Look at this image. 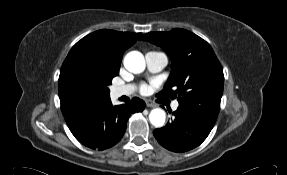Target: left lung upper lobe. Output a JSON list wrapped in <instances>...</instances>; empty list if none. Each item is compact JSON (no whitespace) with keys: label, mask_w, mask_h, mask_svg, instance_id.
<instances>
[{"label":"left lung upper lobe","mask_w":287,"mask_h":175,"mask_svg":"<svg viewBox=\"0 0 287 175\" xmlns=\"http://www.w3.org/2000/svg\"><path fill=\"white\" fill-rule=\"evenodd\" d=\"M164 49L172 71L160 95L178 94L179 107L189 109L213 125L223 94V68L211 46L199 36L180 28L150 32L141 38Z\"/></svg>","instance_id":"left-lung-upper-lobe-1"}]
</instances>
